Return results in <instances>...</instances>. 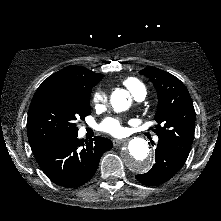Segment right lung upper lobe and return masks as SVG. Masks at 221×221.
<instances>
[{"label": "right lung upper lobe", "instance_id": "right-lung-upper-lobe-1", "mask_svg": "<svg viewBox=\"0 0 221 221\" xmlns=\"http://www.w3.org/2000/svg\"><path fill=\"white\" fill-rule=\"evenodd\" d=\"M104 76L99 73H94L85 67L71 65L52 74L48 77L41 86L46 84H74L87 86L98 83Z\"/></svg>", "mask_w": 221, "mask_h": 221}]
</instances>
